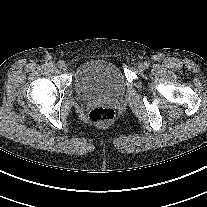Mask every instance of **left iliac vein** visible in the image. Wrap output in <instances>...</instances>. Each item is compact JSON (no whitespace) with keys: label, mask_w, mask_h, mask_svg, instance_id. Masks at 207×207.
Returning a JSON list of instances; mask_svg holds the SVG:
<instances>
[{"label":"left iliac vein","mask_w":207,"mask_h":207,"mask_svg":"<svg viewBox=\"0 0 207 207\" xmlns=\"http://www.w3.org/2000/svg\"><path fill=\"white\" fill-rule=\"evenodd\" d=\"M138 68H139L140 70H144V69H146L145 63H142V62L138 63Z\"/></svg>","instance_id":"1"}]
</instances>
